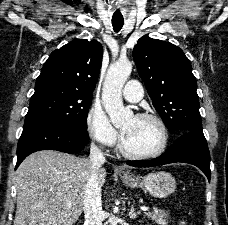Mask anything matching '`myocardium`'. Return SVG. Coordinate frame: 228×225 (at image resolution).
<instances>
[{"label":"myocardium","instance_id":"1","mask_svg":"<svg viewBox=\"0 0 228 225\" xmlns=\"http://www.w3.org/2000/svg\"><path fill=\"white\" fill-rule=\"evenodd\" d=\"M135 118L142 120H151L160 127L163 136L161 147L153 153H141L133 151L127 146L124 135H122L120 139L121 152L129 157L136 159H154L163 155L169 144V131L165 122L159 116L149 113H139L135 116Z\"/></svg>","mask_w":228,"mask_h":225}]
</instances>
